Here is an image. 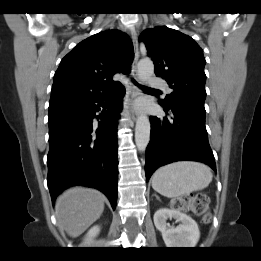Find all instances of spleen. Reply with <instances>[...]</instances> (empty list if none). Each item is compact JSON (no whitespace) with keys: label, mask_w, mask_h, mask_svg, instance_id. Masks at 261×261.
<instances>
[{"label":"spleen","mask_w":261,"mask_h":261,"mask_svg":"<svg viewBox=\"0 0 261 261\" xmlns=\"http://www.w3.org/2000/svg\"><path fill=\"white\" fill-rule=\"evenodd\" d=\"M211 169L202 163L181 161L159 168L153 175L152 188L175 198L206 188L212 181Z\"/></svg>","instance_id":"spleen-1"}]
</instances>
